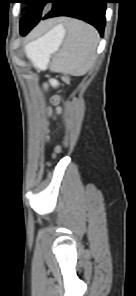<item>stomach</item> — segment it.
Wrapping results in <instances>:
<instances>
[{
    "label": "stomach",
    "mask_w": 136,
    "mask_h": 296,
    "mask_svg": "<svg viewBox=\"0 0 136 296\" xmlns=\"http://www.w3.org/2000/svg\"><path fill=\"white\" fill-rule=\"evenodd\" d=\"M63 38V29L57 25L45 35L29 42L25 46L26 55L35 66L40 67V65H43L46 68L50 55L57 51Z\"/></svg>",
    "instance_id": "1"
}]
</instances>
